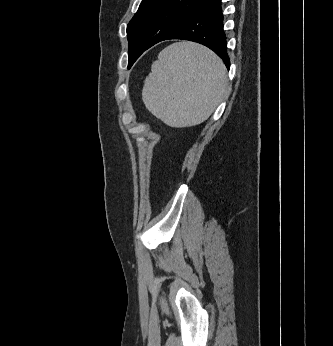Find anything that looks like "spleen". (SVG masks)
<instances>
[{
	"label": "spleen",
	"mask_w": 333,
	"mask_h": 346,
	"mask_svg": "<svg viewBox=\"0 0 333 346\" xmlns=\"http://www.w3.org/2000/svg\"><path fill=\"white\" fill-rule=\"evenodd\" d=\"M228 86L226 68L206 47L179 42L163 49L146 77V108L176 127L198 125L213 113Z\"/></svg>",
	"instance_id": "3e777b00"
}]
</instances>
